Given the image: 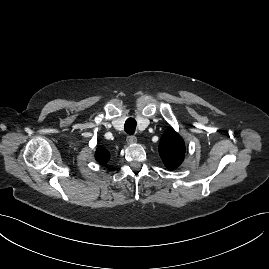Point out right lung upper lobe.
Returning a JSON list of instances; mask_svg holds the SVG:
<instances>
[{"mask_svg": "<svg viewBox=\"0 0 269 269\" xmlns=\"http://www.w3.org/2000/svg\"><path fill=\"white\" fill-rule=\"evenodd\" d=\"M95 158L100 164H106L110 158L109 152L103 147H98L95 153Z\"/></svg>", "mask_w": 269, "mask_h": 269, "instance_id": "right-lung-upper-lobe-1", "label": "right lung upper lobe"}]
</instances>
